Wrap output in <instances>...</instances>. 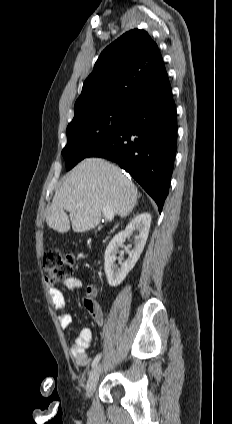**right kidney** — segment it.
<instances>
[{
  "mask_svg": "<svg viewBox=\"0 0 232 424\" xmlns=\"http://www.w3.org/2000/svg\"><path fill=\"white\" fill-rule=\"evenodd\" d=\"M150 224L151 215L149 213L139 214L127 225L124 231L115 235L109 242L104 256V270L110 286L116 287L120 285L129 271L135 266L146 244ZM135 231L138 235L135 237L134 249L130 251L125 247L129 257L122 264L121 268H118L117 265H115L118 248L123 247L126 238L130 237Z\"/></svg>",
  "mask_w": 232,
  "mask_h": 424,
  "instance_id": "obj_1",
  "label": "right kidney"
}]
</instances>
